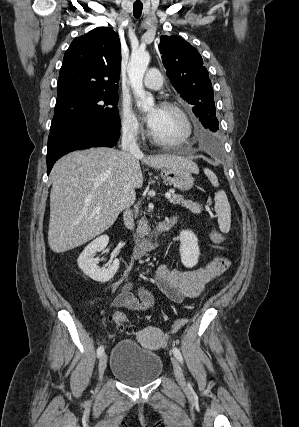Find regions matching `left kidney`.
Instances as JSON below:
<instances>
[{
	"mask_svg": "<svg viewBox=\"0 0 299 427\" xmlns=\"http://www.w3.org/2000/svg\"><path fill=\"white\" fill-rule=\"evenodd\" d=\"M179 239L181 262L185 267L193 268L197 265L200 255L198 239L190 230H182Z\"/></svg>",
	"mask_w": 299,
	"mask_h": 427,
	"instance_id": "obj_1",
	"label": "left kidney"
}]
</instances>
